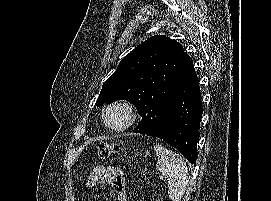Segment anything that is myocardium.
Returning <instances> with one entry per match:
<instances>
[{
	"label": "myocardium",
	"instance_id": "f54148a6",
	"mask_svg": "<svg viewBox=\"0 0 271 201\" xmlns=\"http://www.w3.org/2000/svg\"><path fill=\"white\" fill-rule=\"evenodd\" d=\"M113 109H121L126 114V117H127L126 121L120 126H112L107 121V114ZM102 120L106 128L115 132H119V131L128 129L135 124L137 120V112L135 108L133 107V105L129 103L128 101L118 100V101H114L108 104L104 108L103 113H102Z\"/></svg>",
	"mask_w": 271,
	"mask_h": 201
}]
</instances>
